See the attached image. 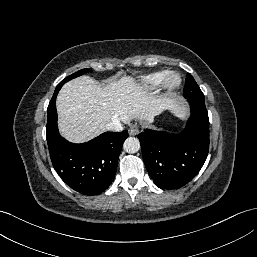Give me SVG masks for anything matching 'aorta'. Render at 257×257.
<instances>
[{
	"mask_svg": "<svg viewBox=\"0 0 257 257\" xmlns=\"http://www.w3.org/2000/svg\"><path fill=\"white\" fill-rule=\"evenodd\" d=\"M123 148L127 153H136L140 149V142L135 137H128L124 141Z\"/></svg>",
	"mask_w": 257,
	"mask_h": 257,
	"instance_id": "762f6f07",
	"label": "aorta"
}]
</instances>
